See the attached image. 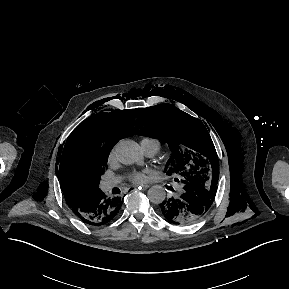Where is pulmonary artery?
<instances>
[{
  "label": "pulmonary artery",
  "instance_id": "e3ab8cb5",
  "mask_svg": "<svg viewBox=\"0 0 289 289\" xmlns=\"http://www.w3.org/2000/svg\"><path fill=\"white\" fill-rule=\"evenodd\" d=\"M141 147L148 157L154 156L157 151L159 150V142L157 140H145L141 142ZM118 182V179H106L103 182V188L105 190H108L112 188L116 183Z\"/></svg>",
  "mask_w": 289,
  "mask_h": 289
}]
</instances>
